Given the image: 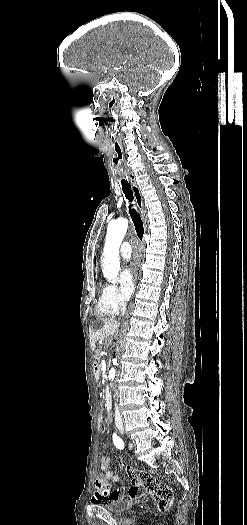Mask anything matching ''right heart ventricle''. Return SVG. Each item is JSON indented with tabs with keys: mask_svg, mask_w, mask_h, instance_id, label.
I'll use <instances>...</instances> for the list:
<instances>
[{
	"mask_svg": "<svg viewBox=\"0 0 247 525\" xmlns=\"http://www.w3.org/2000/svg\"><path fill=\"white\" fill-rule=\"evenodd\" d=\"M119 313L117 309H111L102 300L95 306V317H116Z\"/></svg>",
	"mask_w": 247,
	"mask_h": 525,
	"instance_id": "obj_1",
	"label": "right heart ventricle"
}]
</instances>
